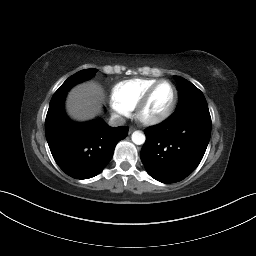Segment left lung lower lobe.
Masks as SVG:
<instances>
[{
  "label": "left lung lower lobe",
  "instance_id": "obj_1",
  "mask_svg": "<svg viewBox=\"0 0 256 256\" xmlns=\"http://www.w3.org/2000/svg\"><path fill=\"white\" fill-rule=\"evenodd\" d=\"M140 157L151 177L174 183L191 174L201 162L211 135L208 109L186 108L145 129Z\"/></svg>",
  "mask_w": 256,
  "mask_h": 256
}]
</instances>
